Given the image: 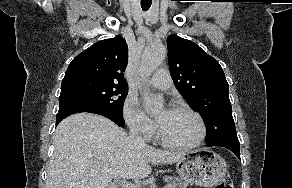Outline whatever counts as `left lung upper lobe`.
Listing matches in <instances>:
<instances>
[{
  "label": "left lung upper lobe",
  "mask_w": 292,
  "mask_h": 188,
  "mask_svg": "<svg viewBox=\"0 0 292 188\" xmlns=\"http://www.w3.org/2000/svg\"><path fill=\"white\" fill-rule=\"evenodd\" d=\"M169 68L177 90L203 117L206 142L236 132L229 100V86L221 65L197 44L170 35Z\"/></svg>",
  "instance_id": "left-lung-upper-lobe-1"
}]
</instances>
